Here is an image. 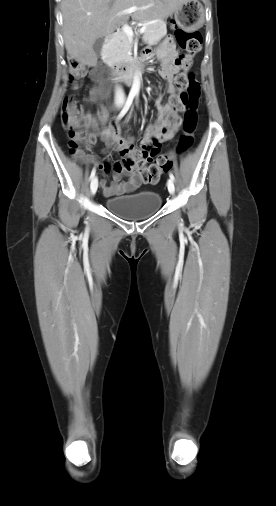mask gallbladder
Masks as SVG:
<instances>
[{
    "label": "gallbladder",
    "mask_w": 276,
    "mask_h": 506,
    "mask_svg": "<svg viewBox=\"0 0 276 506\" xmlns=\"http://www.w3.org/2000/svg\"><path fill=\"white\" fill-rule=\"evenodd\" d=\"M104 39L101 37L96 40V42L93 45V50L97 56H100L102 47H103Z\"/></svg>",
    "instance_id": "obj_1"
}]
</instances>
